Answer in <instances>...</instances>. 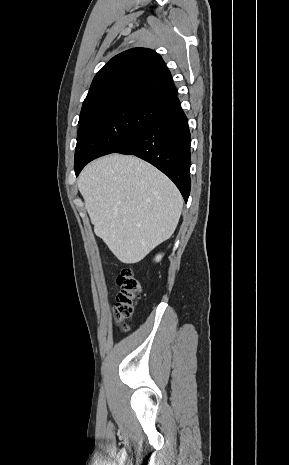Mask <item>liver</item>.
<instances>
[{"label": "liver", "mask_w": 289, "mask_h": 465, "mask_svg": "<svg viewBox=\"0 0 289 465\" xmlns=\"http://www.w3.org/2000/svg\"><path fill=\"white\" fill-rule=\"evenodd\" d=\"M95 233L123 263L141 261L174 233L183 207L176 186L135 156L112 154L78 178Z\"/></svg>", "instance_id": "obj_1"}]
</instances>
